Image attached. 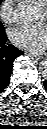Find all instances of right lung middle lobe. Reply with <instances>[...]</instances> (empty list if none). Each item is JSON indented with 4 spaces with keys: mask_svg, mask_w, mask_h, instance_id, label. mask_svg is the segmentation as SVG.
<instances>
[{
    "mask_svg": "<svg viewBox=\"0 0 47 129\" xmlns=\"http://www.w3.org/2000/svg\"><path fill=\"white\" fill-rule=\"evenodd\" d=\"M2 0H0V2H1ZM4 33V28H3V26H2V24L0 23V35H2Z\"/></svg>",
    "mask_w": 47,
    "mask_h": 129,
    "instance_id": "dd1d6c3e",
    "label": "right lung middle lobe"
}]
</instances>
